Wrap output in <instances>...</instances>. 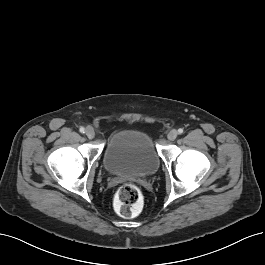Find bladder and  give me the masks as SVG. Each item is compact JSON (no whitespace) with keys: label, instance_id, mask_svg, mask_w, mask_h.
Returning a JSON list of instances; mask_svg holds the SVG:
<instances>
[{"label":"bladder","instance_id":"obj_1","mask_svg":"<svg viewBox=\"0 0 265 265\" xmlns=\"http://www.w3.org/2000/svg\"><path fill=\"white\" fill-rule=\"evenodd\" d=\"M103 165L113 175L149 176L158 170L160 156L146 131L127 127L108 141L103 154Z\"/></svg>","mask_w":265,"mask_h":265}]
</instances>
